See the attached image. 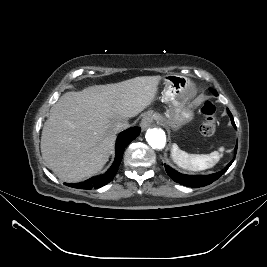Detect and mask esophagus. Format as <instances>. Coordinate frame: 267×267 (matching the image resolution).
I'll return each mask as SVG.
<instances>
[{
    "label": "esophagus",
    "mask_w": 267,
    "mask_h": 267,
    "mask_svg": "<svg viewBox=\"0 0 267 267\" xmlns=\"http://www.w3.org/2000/svg\"><path fill=\"white\" fill-rule=\"evenodd\" d=\"M152 121L153 116L151 114L144 115L140 123V127L142 128V130H146L151 125Z\"/></svg>",
    "instance_id": "1"
}]
</instances>
